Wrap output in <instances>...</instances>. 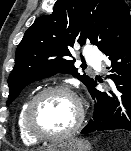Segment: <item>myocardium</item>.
Listing matches in <instances>:
<instances>
[{
    "mask_svg": "<svg viewBox=\"0 0 131 151\" xmlns=\"http://www.w3.org/2000/svg\"><path fill=\"white\" fill-rule=\"evenodd\" d=\"M53 93H63L69 96L75 102L76 109H77V116L72 126L66 131L56 135H46V134L39 133L34 128L33 114L39 101L45 96ZM84 117H85V111H84L83 103L79 98V96L70 87L66 85L58 84V85H52L43 88L29 100L24 112V127L27 133L37 141L58 142V141L65 140L70 136H72L74 133H76L81 127L84 121Z\"/></svg>",
    "mask_w": 131,
    "mask_h": 151,
    "instance_id": "1",
    "label": "myocardium"
}]
</instances>
